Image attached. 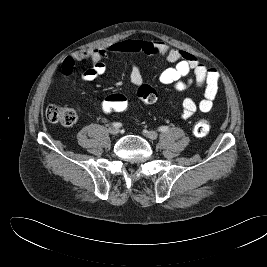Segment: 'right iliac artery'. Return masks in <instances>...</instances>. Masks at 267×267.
I'll use <instances>...</instances> for the list:
<instances>
[{
    "label": "right iliac artery",
    "mask_w": 267,
    "mask_h": 267,
    "mask_svg": "<svg viewBox=\"0 0 267 267\" xmlns=\"http://www.w3.org/2000/svg\"><path fill=\"white\" fill-rule=\"evenodd\" d=\"M112 125H113L114 127H117V128H119V127L122 126V124L119 123V122H115V123H113Z\"/></svg>",
    "instance_id": "obj_1"
}]
</instances>
